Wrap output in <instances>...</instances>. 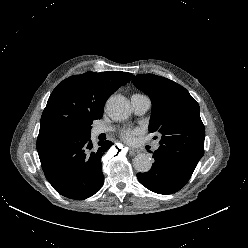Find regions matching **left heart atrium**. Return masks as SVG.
I'll return each instance as SVG.
<instances>
[{
  "label": "left heart atrium",
  "instance_id": "obj_1",
  "mask_svg": "<svg viewBox=\"0 0 248 248\" xmlns=\"http://www.w3.org/2000/svg\"><path fill=\"white\" fill-rule=\"evenodd\" d=\"M139 133V130H125L122 132L121 137L124 141L132 143L135 136Z\"/></svg>",
  "mask_w": 248,
  "mask_h": 248
}]
</instances>
